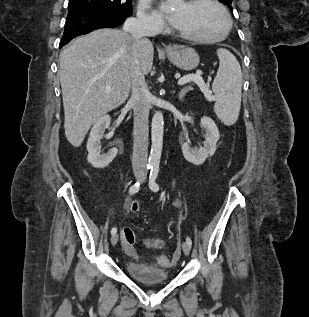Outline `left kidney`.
<instances>
[{
  "label": "left kidney",
  "mask_w": 309,
  "mask_h": 317,
  "mask_svg": "<svg viewBox=\"0 0 309 317\" xmlns=\"http://www.w3.org/2000/svg\"><path fill=\"white\" fill-rule=\"evenodd\" d=\"M200 126L205 130L203 147L193 149L187 142L182 145L184 158L194 165L203 164L209 156H212L215 153L216 144L220 138L218 127L211 118L206 116L202 117Z\"/></svg>",
  "instance_id": "1"
}]
</instances>
